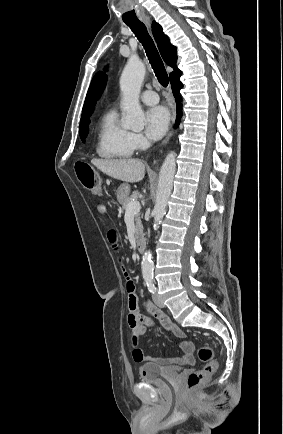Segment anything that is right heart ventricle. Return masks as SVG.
Here are the masks:
<instances>
[{
	"label": "right heart ventricle",
	"mask_w": 283,
	"mask_h": 434,
	"mask_svg": "<svg viewBox=\"0 0 283 434\" xmlns=\"http://www.w3.org/2000/svg\"><path fill=\"white\" fill-rule=\"evenodd\" d=\"M131 132L122 126L115 110L108 111L102 118L97 135L96 152L106 159H125L132 156L134 148Z\"/></svg>",
	"instance_id": "right-heart-ventricle-1"
}]
</instances>
